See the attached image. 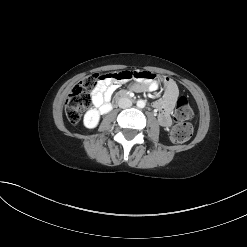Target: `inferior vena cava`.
<instances>
[{"label":"inferior vena cava","instance_id":"inferior-vena-cava-1","mask_svg":"<svg viewBox=\"0 0 247 247\" xmlns=\"http://www.w3.org/2000/svg\"><path fill=\"white\" fill-rule=\"evenodd\" d=\"M118 105L120 108H128L132 106V101L128 97H122L118 101Z\"/></svg>","mask_w":247,"mask_h":247}]
</instances>
